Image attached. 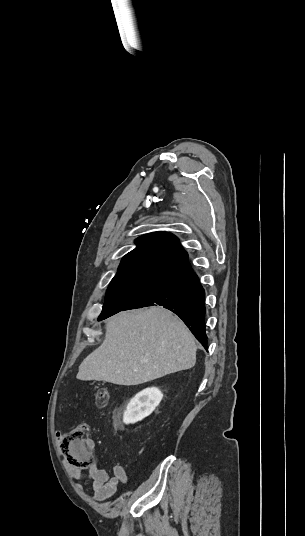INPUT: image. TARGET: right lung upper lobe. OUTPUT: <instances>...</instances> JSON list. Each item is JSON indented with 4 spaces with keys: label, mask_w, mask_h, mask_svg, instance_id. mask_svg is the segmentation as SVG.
Here are the masks:
<instances>
[{
    "label": "right lung upper lobe",
    "mask_w": 305,
    "mask_h": 536,
    "mask_svg": "<svg viewBox=\"0 0 305 536\" xmlns=\"http://www.w3.org/2000/svg\"><path fill=\"white\" fill-rule=\"evenodd\" d=\"M135 243L137 247L122 258L115 277H167L191 267L187 252L171 233L145 234L137 238Z\"/></svg>",
    "instance_id": "obj_1"
}]
</instances>
